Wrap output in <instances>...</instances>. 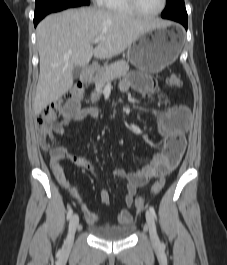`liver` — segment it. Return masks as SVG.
<instances>
[{
	"instance_id": "6515ba94",
	"label": "liver",
	"mask_w": 227,
	"mask_h": 265,
	"mask_svg": "<svg viewBox=\"0 0 227 265\" xmlns=\"http://www.w3.org/2000/svg\"><path fill=\"white\" fill-rule=\"evenodd\" d=\"M157 26L155 22L96 8L69 9L44 18L37 26L40 74L34 113L40 114L72 87L75 66H87L93 56H117ZM95 38L101 40L93 48Z\"/></svg>"
}]
</instances>
